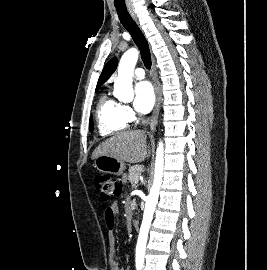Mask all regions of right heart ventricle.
<instances>
[{
    "mask_svg": "<svg viewBox=\"0 0 267 270\" xmlns=\"http://www.w3.org/2000/svg\"><path fill=\"white\" fill-rule=\"evenodd\" d=\"M96 120L98 132L104 137L124 131L128 127V120L122 113V105L106 94L98 101Z\"/></svg>",
    "mask_w": 267,
    "mask_h": 270,
    "instance_id": "e07e8e85",
    "label": "right heart ventricle"
}]
</instances>
